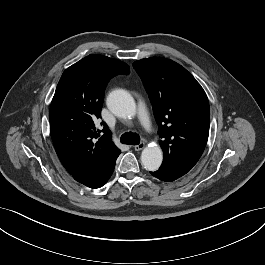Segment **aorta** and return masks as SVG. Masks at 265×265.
Wrapping results in <instances>:
<instances>
[{"instance_id": "aorta-1", "label": "aorta", "mask_w": 265, "mask_h": 265, "mask_svg": "<svg viewBox=\"0 0 265 265\" xmlns=\"http://www.w3.org/2000/svg\"><path fill=\"white\" fill-rule=\"evenodd\" d=\"M108 109L118 117L131 118L136 114V104L133 97L124 89H115L107 97ZM163 153L158 145L145 147L141 154V161L148 171H156L161 166Z\"/></svg>"}]
</instances>
